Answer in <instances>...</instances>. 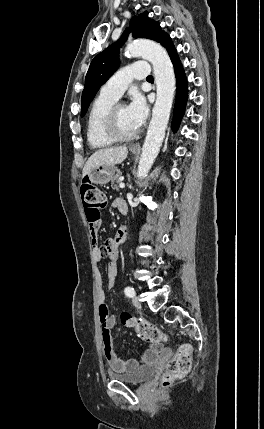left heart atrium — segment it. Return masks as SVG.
<instances>
[{"label":"left heart atrium","mask_w":264,"mask_h":429,"mask_svg":"<svg viewBox=\"0 0 264 429\" xmlns=\"http://www.w3.org/2000/svg\"><path fill=\"white\" fill-rule=\"evenodd\" d=\"M127 112L132 121L139 128L144 123L148 115V106L144 96L140 93H134L129 105L127 106Z\"/></svg>","instance_id":"left-heart-atrium-1"}]
</instances>
